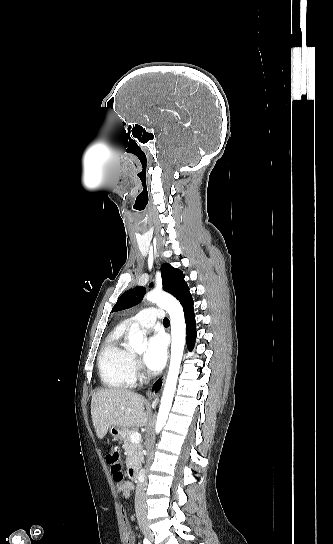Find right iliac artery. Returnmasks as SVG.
<instances>
[{
	"label": "right iliac artery",
	"instance_id": "right-iliac-artery-1",
	"mask_svg": "<svg viewBox=\"0 0 333 544\" xmlns=\"http://www.w3.org/2000/svg\"><path fill=\"white\" fill-rule=\"evenodd\" d=\"M143 543L144 544H150V542L146 538H144Z\"/></svg>",
	"mask_w": 333,
	"mask_h": 544
}]
</instances>
